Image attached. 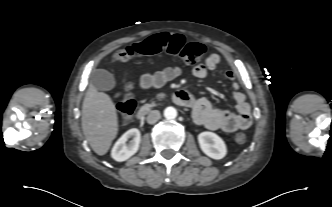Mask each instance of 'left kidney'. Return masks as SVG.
Segmentation results:
<instances>
[{
	"label": "left kidney",
	"mask_w": 332,
	"mask_h": 207,
	"mask_svg": "<svg viewBox=\"0 0 332 207\" xmlns=\"http://www.w3.org/2000/svg\"><path fill=\"white\" fill-rule=\"evenodd\" d=\"M198 142L201 150L212 159H222L227 154V148L217 134L213 132H202L198 135Z\"/></svg>",
	"instance_id": "obj_1"
}]
</instances>
